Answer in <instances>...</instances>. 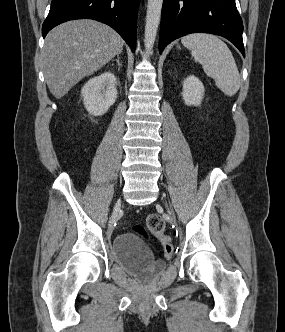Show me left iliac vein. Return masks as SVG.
<instances>
[{"label": "left iliac vein", "mask_w": 285, "mask_h": 332, "mask_svg": "<svg viewBox=\"0 0 285 332\" xmlns=\"http://www.w3.org/2000/svg\"><path fill=\"white\" fill-rule=\"evenodd\" d=\"M168 215L171 218V220H173V215H172V213H171V211L169 209H168Z\"/></svg>", "instance_id": "left-iliac-vein-1"}]
</instances>
